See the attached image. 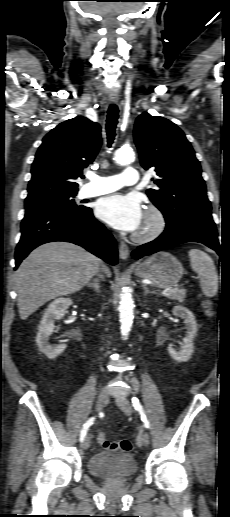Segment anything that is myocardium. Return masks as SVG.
<instances>
[{
    "label": "myocardium",
    "mask_w": 230,
    "mask_h": 517,
    "mask_svg": "<svg viewBox=\"0 0 230 517\" xmlns=\"http://www.w3.org/2000/svg\"><path fill=\"white\" fill-rule=\"evenodd\" d=\"M145 217L149 221L148 226L139 230L134 236L135 240L141 243L156 239L166 228V217L157 206L149 205L145 211Z\"/></svg>",
    "instance_id": "1"
}]
</instances>
